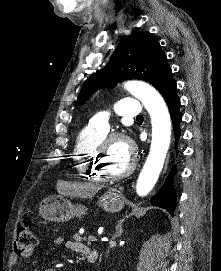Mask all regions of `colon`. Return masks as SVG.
Here are the masks:
<instances>
[{
	"label": "colon",
	"mask_w": 221,
	"mask_h": 271,
	"mask_svg": "<svg viewBox=\"0 0 221 271\" xmlns=\"http://www.w3.org/2000/svg\"><path fill=\"white\" fill-rule=\"evenodd\" d=\"M37 243V236L30 226L29 221H22L19 224L17 234L15 237L14 249L17 253L28 250L30 247L35 246Z\"/></svg>",
	"instance_id": "colon-1"
}]
</instances>
